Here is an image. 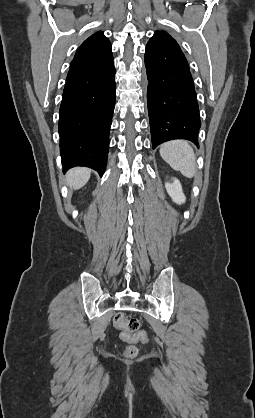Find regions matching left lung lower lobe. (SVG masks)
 Listing matches in <instances>:
<instances>
[{"label": "left lung lower lobe", "instance_id": "obj_1", "mask_svg": "<svg viewBox=\"0 0 255 418\" xmlns=\"http://www.w3.org/2000/svg\"><path fill=\"white\" fill-rule=\"evenodd\" d=\"M144 58L153 149L173 139L197 145L201 126L197 94L181 48L176 41L150 39Z\"/></svg>", "mask_w": 255, "mask_h": 418}]
</instances>
